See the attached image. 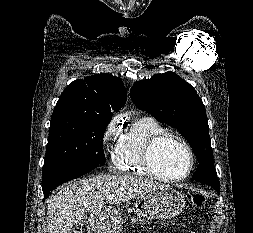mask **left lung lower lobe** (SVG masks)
<instances>
[{
    "mask_svg": "<svg viewBox=\"0 0 253 233\" xmlns=\"http://www.w3.org/2000/svg\"><path fill=\"white\" fill-rule=\"evenodd\" d=\"M212 187L215 188L218 193H220V185L219 186H212Z\"/></svg>",
    "mask_w": 253,
    "mask_h": 233,
    "instance_id": "left-lung-lower-lobe-1",
    "label": "left lung lower lobe"
}]
</instances>
